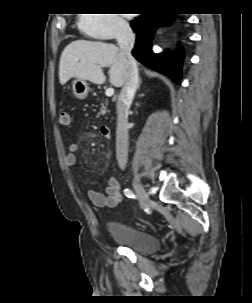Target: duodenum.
Listing matches in <instances>:
<instances>
[{
    "instance_id": "1",
    "label": "duodenum",
    "mask_w": 252,
    "mask_h": 303,
    "mask_svg": "<svg viewBox=\"0 0 252 303\" xmlns=\"http://www.w3.org/2000/svg\"><path fill=\"white\" fill-rule=\"evenodd\" d=\"M99 128L104 138H110V127L108 125L102 124Z\"/></svg>"
}]
</instances>
